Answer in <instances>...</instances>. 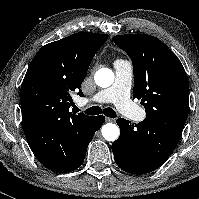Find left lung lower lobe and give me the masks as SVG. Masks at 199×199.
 Segmentation results:
<instances>
[{"mask_svg": "<svg viewBox=\"0 0 199 199\" xmlns=\"http://www.w3.org/2000/svg\"><path fill=\"white\" fill-rule=\"evenodd\" d=\"M119 138L112 143L117 165L131 174H146L159 168L172 154L182 132L144 119L138 124L119 118Z\"/></svg>", "mask_w": 199, "mask_h": 199, "instance_id": "0a47b994", "label": "left lung lower lobe"}]
</instances>
